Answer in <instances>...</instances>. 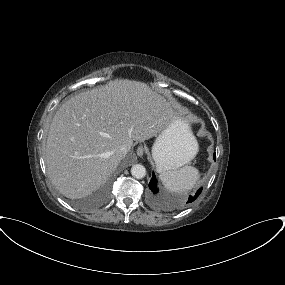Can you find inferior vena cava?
<instances>
[{
    "label": "inferior vena cava",
    "instance_id": "inferior-vena-cava-1",
    "mask_svg": "<svg viewBox=\"0 0 285 285\" xmlns=\"http://www.w3.org/2000/svg\"><path fill=\"white\" fill-rule=\"evenodd\" d=\"M127 152H128V150H127V147H126V146L120 147V149H119L120 158L125 157V155L127 154Z\"/></svg>",
    "mask_w": 285,
    "mask_h": 285
}]
</instances>
